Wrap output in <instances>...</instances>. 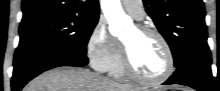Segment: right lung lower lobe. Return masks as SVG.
Returning a JSON list of instances; mask_svg holds the SVG:
<instances>
[{
	"instance_id": "1",
	"label": "right lung lower lobe",
	"mask_w": 220,
	"mask_h": 91,
	"mask_svg": "<svg viewBox=\"0 0 220 91\" xmlns=\"http://www.w3.org/2000/svg\"><path fill=\"white\" fill-rule=\"evenodd\" d=\"M88 63L85 54L48 43L19 44L14 56L12 91L23 86L40 73L59 66L82 67Z\"/></svg>"
}]
</instances>
